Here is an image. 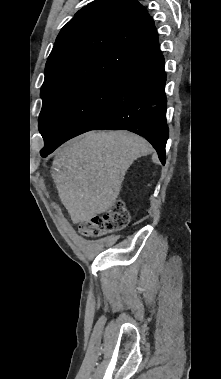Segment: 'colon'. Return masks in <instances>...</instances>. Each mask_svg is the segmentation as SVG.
<instances>
[{
  "instance_id": "1",
  "label": "colon",
  "mask_w": 221,
  "mask_h": 379,
  "mask_svg": "<svg viewBox=\"0 0 221 379\" xmlns=\"http://www.w3.org/2000/svg\"><path fill=\"white\" fill-rule=\"evenodd\" d=\"M129 221V214L122 201H116L103 214L94 216L79 225L81 234L99 237L123 229Z\"/></svg>"
}]
</instances>
